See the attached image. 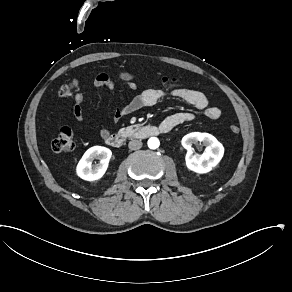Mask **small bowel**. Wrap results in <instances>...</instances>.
Returning <instances> with one entry per match:
<instances>
[{
    "instance_id": "obj_1",
    "label": "small bowel",
    "mask_w": 292,
    "mask_h": 292,
    "mask_svg": "<svg viewBox=\"0 0 292 292\" xmlns=\"http://www.w3.org/2000/svg\"><path fill=\"white\" fill-rule=\"evenodd\" d=\"M118 77L125 81L129 88L133 91L137 90L134 76L127 72L122 71ZM96 88L114 89V84L110 76L106 73H99L96 75L94 82ZM167 97H175L185 101L186 103L194 106L200 110L204 116L209 120H218L221 117V110L216 106H210L208 98L200 91L190 89L185 85H179L166 90L144 88L138 92L127 104L118 108L115 111V119L118 120L124 116H128L143 108L155 106ZM85 96L82 93H76L74 96L73 114L78 123H83L85 120L84 115ZM193 119V114L189 112H178L167 116L160 124V126H170L172 129L183 123L189 122ZM80 128H86L80 125ZM110 135L107 127L103 126L100 129V136L106 139Z\"/></svg>"
}]
</instances>
